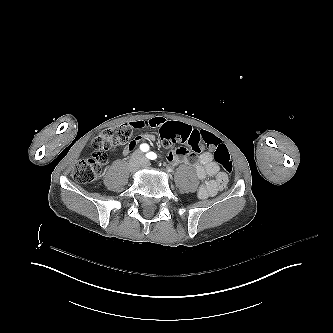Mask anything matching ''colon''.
Instances as JSON below:
<instances>
[{"label":"colon","mask_w":333,"mask_h":333,"mask_svg":"<svg viewBox=\"0 0 333 333\" xmlns=\"http://www.w3.org/2000/svg\"><path fill=\"white\" fill-rule=\"evenodd\" d=\"M159 135L168 143L180 142L189 145L194 151L201 152L200 144L214 147V159L223 172L230 174L233 170V162L230 152L214 134L202 133L189 123L177 124L167 121L159 130ZM133 127L127 124L117 125L102 131L92 142L94 153L75 163L72 169V177L79 183H89L96 180L102 173L106 163V152L113 147H125L133 145Z\"/></svg>","instance_id":"colon-1"}]
</instances>
